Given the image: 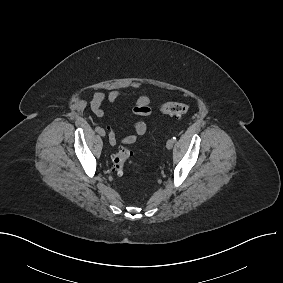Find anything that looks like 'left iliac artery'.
I'll list each match as a JSON object with an SVG mask.
<instances>
[{
	"mask_svg": "<svg viewBox=\"0 0 283 283\" xmlns=\"http://www.w3.org/2000/svg\"><path fill=\"white\" fill-rule=\"evenodd\" d=\"M173 140L176 141V137H173Z\"/></svg>",
	"mask_w": 283,
	"mask_h": 283,
	"instance_id": "left-iliac-artery-1",
	"label": "left iliac artery"
}]
</instances>
